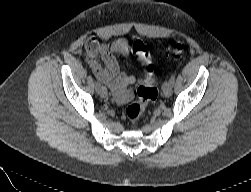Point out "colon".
<instances>
[{"mask_svg":"<svg viewBox=\"0 0 251 192\" xmlns=\"http://www.w3.org/2000/svg\"><path fill=\"white\" fill-rule=\"evenodd\" d=\"M183 50V46L178 44L170 48L169 51L178 58L182 55ZM157 96L158 89L154 80V68L153 66H148L144 70V77L137 89V99L125 108L124 115L126 120L130 124L137 123L143 116L149 103L154 101Z\"/></svg>","mask_w":251,"mask_h":192,"instance_id":"colon-1","label":"colon"}]
</instances>
